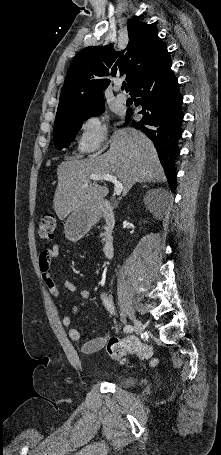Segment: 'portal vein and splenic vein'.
<instances>
[{
	"mask_svg": "<svg viewBox=\"0 0 221 455\" xmlns=\"http://www.w3.org/2000/svg\"><path fill=\"white\" fill-rule=\"evenodd\" d=\"M89 179L96 181L106 180L112 182L114 184V194L117 196H119L123 191V184L118 181L116 176L112 174H91L89 176Z\"/></svg>",
	"mask_w": 221,
	"mask_h": 455,
	"instance_id": "18ae733b",
	"label": "portal vein and splenic vein"
}]
</instances>
